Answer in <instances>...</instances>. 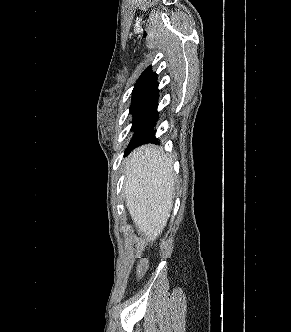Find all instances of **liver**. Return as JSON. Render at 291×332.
I'll use <instances>...</instances> for the list:
<instances>
[{"mask_svg":"<svg viewBox=\"0 0 291 332\" xmlns=\"http://www.w3.org/2000/svg\"><path fill=\"white\" fill-rule=\"evenodd\" d=\"M173 162L162 149L145 145L130 155L125 169L126 206L147 242L162 233L173 208Z\"/></svg>","mask_w":291,"mask_h":332,"instance_id":"6515ba94","label":"liver"}]
</instances>
